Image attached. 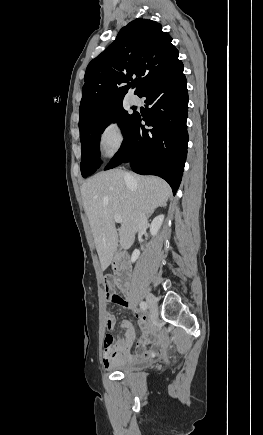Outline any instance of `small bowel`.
Instances as JSON below:
<instances>
[{
	"mask_svg": "<svg viewBox=\"0 0 263 435\" xmlns=\"http://www.w3.org/2000/svg\"><path fill=\"white\" fill-rule=\"evenodd\" d=\"M117 304L129 306L130 303L127 299L121 298V301ZM134 314L138 318L139 325L143 332L141 338L136 342L134 351H132L135 341V329L129 320H124L121 323V327L125 332L124 334L118 335L114 340V350H105L103 348V364L106 368L148 360L156 355L162 343L158 329L145 315L139 312H134ZM114 324L115 317L112 314H107L106 326L110 329Z\"/></svg>",
	"mask_w": 263,
	"mask_h": 435,
	"instance_id": "small-bowel-1",
	"label": "small bowel"
}]
</instances>
